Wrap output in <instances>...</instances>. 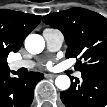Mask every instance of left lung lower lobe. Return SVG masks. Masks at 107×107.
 Listing matches in <instances>:
<instances>
[{"mask_svg": "<svg viewBox=\"0 0 107 107\" xmlns=\"http://www.w3.org/2000/svg\"><path fill=\"white\" fill-rule=\"evenodd\" d=\"M60 97L66 107H107V76L82 73Z\"/></svg>", "mask_w": 107, "mask_h": 107, "instance_id": "1", "label": "left lung lower lobe"}]
</instances>
